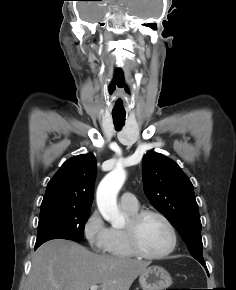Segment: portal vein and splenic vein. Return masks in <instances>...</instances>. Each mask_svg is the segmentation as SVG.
<instances>
[{
  "mask_svg": "<svg viewBox=\"0 0 236 290\" xmlns=\"http://www.w3.org/2000/svg\"><path fill=\"white\" fill-rule=\"evenodd\" d=\"M99 287H100L99 285H92L90 287V290H98Z\"/></svg>",
  "mask_w": 236,
  "mask_h": 290,
  "instance_id": "portal-vein-and-splenic-vein-1",
  "label": "portal vein and splenic vein"
}]
</instances>
